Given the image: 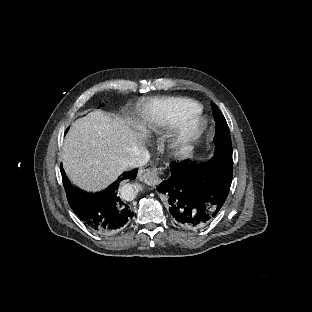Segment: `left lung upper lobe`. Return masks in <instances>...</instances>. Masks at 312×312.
I'll return each mask as SVG.
<instances>
[{"instance_id":"obj_1","label":"left lung upper lobe","mask_w":312,"mask_h":312,"mask_svg":"<svg viewBox=\"0 0 312 312\" xmlns=\"http://www.w3.org/2000/svg\"><path fill=\"white\" fill-rule=\"evenodd\" d=\"M211 105L214 110L213 114L216 123V136L213 140L215 146L214 151L215 153L218 151L232 152L231 137L227 122L217 105L214 103H211Z\"/></svg>"}]
</instances>
